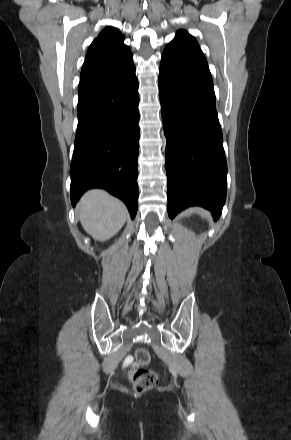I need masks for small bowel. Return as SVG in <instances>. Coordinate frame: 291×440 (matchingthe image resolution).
Instances as JSON below:
<instances>
[{
	"label": "small bowel",
	"instance_id": "obj_1",
	"mask_svg": "<svg viewBox=\"0 0 291 440\" xmlns=\"http://www.w3.org/2000/svg\"><path fill=\"white\" fill-rule=\"evenodd\" d=\"M134 359L131 356H127L124 360V366L125 367H130V366H134Z\"/></svg>",
	"mask_w": 291,
	"mask_h": 440
}]
</instances>
